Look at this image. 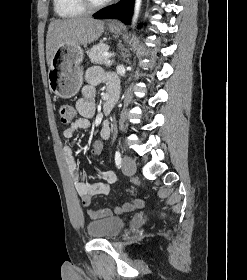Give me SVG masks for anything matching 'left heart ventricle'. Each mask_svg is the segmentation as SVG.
Instances as JSON below:
<instances>
[{"label":"left heart ventricle","instance_id":"left-heart-ventricle-1","mask_svg":"<svg viewBox=\"0 0 247 280\" xmlns=\"http://www.w3.org/2000/svg\"><path fill=\"white\" fill-rule=\"evenodd\" d=\"M96 2H100V1H103V0H95Z\"/></svg>","mask_w":247,"mask_h":280}]
</instances>
